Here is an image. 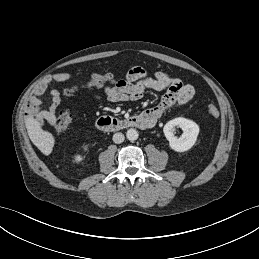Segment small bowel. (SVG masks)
<instances>
[{"mask_svg": "<svg viewBox=\"0 0 259 259\" xmlns=\"http://www.w3.org/2000/svg\"><path fill=\"white\" fill-rule=\"evenodd\" d=\"M71 78L72 75L66 72H59L52 76V80L55 82H64ZM48 83V81L43 82L36 88L27 108L28 117L33 118L39 127L45 123L54 126L56 111L61 101L59 92L55 89H48ZM146 90L165 91L156 106L146 109L142 113L151 119L153 125L171 107H185L195 93L191 84L183 82L174 75L159 71L150 76L140 66L130 68L125 79L103 88L104 95L111 102L139 100ZM48 97L51 99V104L44 108L43 102Z\"/></svg>", "mask_w": 259, "mask_h": 259, "instance_id": "obj_1", "label": "small bowel"}]
</instances>
